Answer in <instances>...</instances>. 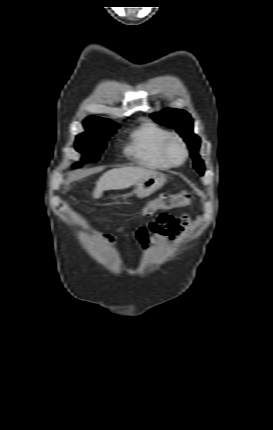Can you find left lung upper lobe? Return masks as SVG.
<instances>
[{"label": "left lung upper lobe", "instance_id": "obj_1", "mask_svg": "<svg viewBox=\"0 0 273 430\" xmlns=\"http://www.w3.org/2000/svg\"><path fill=\"white\" fill-rule=\"evenodd\" d=\"M158 123L175 129L186 141L190 148L191 156L194 159V168L201 174H204V163L198 155L200 139L193 133V122L190 115L177 109H167L161 113L151 115Z\"/></svg>", "mask_w": 273, "mask_h": 430}]
</instances>
